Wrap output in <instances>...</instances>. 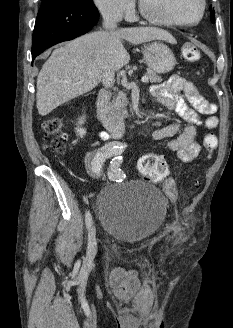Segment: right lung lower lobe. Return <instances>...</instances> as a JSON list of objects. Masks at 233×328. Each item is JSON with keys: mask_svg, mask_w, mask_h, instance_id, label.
I'll return each instance as SVG.
<instances>
[{"mask_svg": "<svg viewBox=\"0 0 233 328\" xmlns=\"http://www.w3.org/2000/svg\"><path fill=\"white\" fill-rule=\"evenodd\" d=\"M98 20L95 6L43 0L33 31L32 60L47 48L86 33Z\"/></svg>", "mask_w": 233, "mask_h": 328, "instance_id": "1", "label": "right lung lower lobe"}]
</instances>
